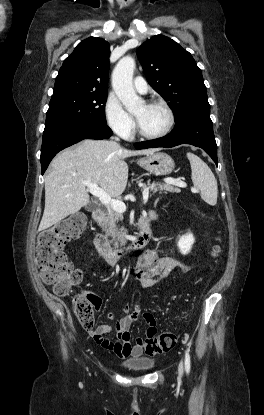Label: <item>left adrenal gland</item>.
<instances>
[{"label":"left adrenal gland","instance_id":"a2214340","mask_svg":"<svg viewBox=\"0 0 264 415\" xmlns=\"http://www.w3.org/2000/svg\"><path fill=\"white\" fill-rule=\"evenodd\" d=\"M158 202V198L155 200V203H154V205H156V203Z\"/></svg>","mask_w":264,"mask_h":415}]
</instances>
